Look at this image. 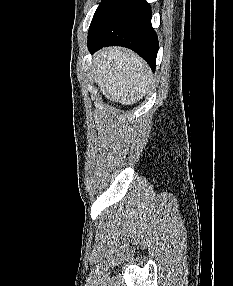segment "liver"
I'll return each mask as SVG.
<instances>
[{"instance_id": "6515ba94", "label": "liver", "mask_w": 233, "mask_h": 286, "mask_svg": "<svg viewBox=\"0 0 233 286\" xmlns=\"http://www.w3.org/2000/svg\"><path fill=\"white\" fill-rule=\"evenodd\" d=\"M91 72L102 94L122 105L142 99L152 82L148 65L136 53L117 47L97 52Z\"/></svg>"}]
</instances>
